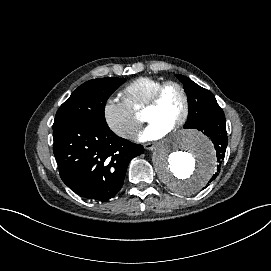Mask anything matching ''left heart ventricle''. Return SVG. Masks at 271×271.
Segmentation results:
<instances>
[{
    "mask_svg": "<svg viewBox=\"0 0 271 271\" xmlns=\"http://www.w3.org/2000/svg\"><path fill=\"white\" fill-rule=\"evenodd\" d=\"M184 109L185 100L181 90L176 86H169L164 90L158 108L147 111L144 119L171 131Z\"/></svg>",
    "mask_w": 271,
    "mask_h": 271,
    "instance_id": "obj_1",
    "label": "left heart ventricle"
}]
</instances>
